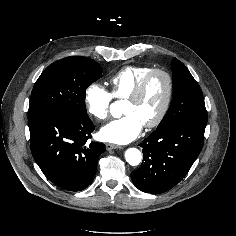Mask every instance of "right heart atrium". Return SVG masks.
<instances>
[{"mask_svg": "<svg viewBox=\"0 0 236 236\" xmlns=\"http://www.w3.org/2000/svg\"><path fill=\"white\" fill-rule=\"evenodd\" d=\"M112 99L111 93L99 83H92L85 90L86 109L97 121H104L109 117Z\"/></svg>", "mask_w": 236, "mask_h": 236, "instance_id": "obj_1", "label": "right heart atrium"}]
</instances>
